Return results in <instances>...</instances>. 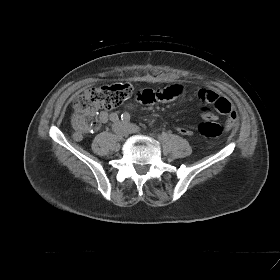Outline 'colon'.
Segmentation results:
<instances>
[{"label": "colon", "instance_id": "1", "mask_svg": "<svg viewBox=\"0 0 280 280\" xmlns=\"http://www.w3.org/2000/svg\"><path fill=\"white\" fill-rule=\"evenodd\" d=\"M129 83H113L84 90L75 100V107L82 112L83 124L88 128H97V114L101 109L109 110L121 105L132 94ZM226 126L207 120L198 125V131L205 137L220 136Z\"/></svg>", "mask_w": 280, "mask_h": 280}]
</instances>
